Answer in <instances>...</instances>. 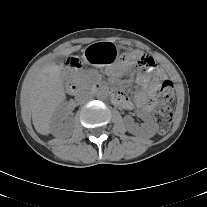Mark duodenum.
<instances>
[{"instance_id": "duodenum-1", "label": "duodenum", "mask_w": 207, "mask_h": 207, "mask_svg": "<svg viewBox=\"0 0 207 207\" xmlns=\"http://www.w3.org/2000/svg\"><path fill=\"white\" fill-rule=\"evenodd\" d=\"M93 90L96 91V92H100V93H101V92H107V93H109V94L111 95V97H112L113 99H114V97H115V95H116L115 92L109 90V88L106 87V86L103 85V84H96V85H94ZM68 91H69L71 94H73V95H77V94L80 92V89H79V87H78L76 84L71 83V84L68 85Z\"/></svg>"}]
</instances>
